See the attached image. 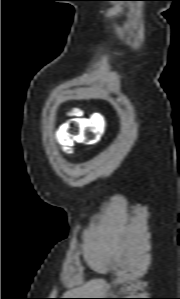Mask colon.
<instances>
[{
    "mask_svg": "<svg viewBox=\"0 0 180 299\" xmlns=\"http://www.w3.org/2000/svg\"><path fill=\"white\" fill-rule=\"evenodd\" d=\"M103 130L95 131L91 127H82L80 123L76 120H71L68 123L61 126L59 134L61 135V140L66 147H69L71 141L75 138H80L85 143L95 142Z\"/></svg>",
    "mask_w": 180,
    "mask_h": 299,
    "instance_id": "5ec220e1",
    "label": "colon"
}]
</instances>
